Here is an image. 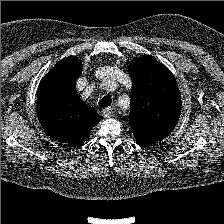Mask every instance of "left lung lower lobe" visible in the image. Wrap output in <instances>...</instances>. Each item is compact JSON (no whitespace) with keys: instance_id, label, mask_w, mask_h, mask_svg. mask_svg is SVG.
<instances>
[{"instance_id":"1","label":"left lung lower lobe","mask_w":224,"mask_h":224,"mask_svg":"<svg viewBox=\"0 0 224 224\" xmlns=\"http://www.w3.org/2000/svg\"><path fill=\"white\" fill-rule=\"evenodd\" d=\"M136 141L139 142L140 144H153L152 142H149V139L145 138L144 135H140V134H133Z\"/></svg>"}]
</instances>
